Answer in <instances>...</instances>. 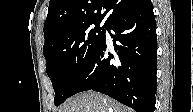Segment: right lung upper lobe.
<instances>
[{
  "label": "right lung upper lobe",
  "instance_id": "obj_1",
  "mask_svg": "<svg viewBox=\"0 0 193 112\" xmlns=\"http://www.w3.org/2000/svg\"><path fill=\"white\" fill-rule=\"evenodd\" d=\"M138 0H50L44 24L45 43L61 30L83 23L107 25Z\"/></svg>",
  "mask_w": 193,
  "mask_h": 112
}]
</instances>
